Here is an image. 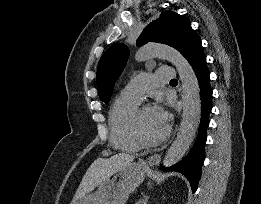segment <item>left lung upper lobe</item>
I'll return each instance as SVG.
<instances>
[{
  "label": "left lung upper lobe",
  "instance_id": "1",
  "mask_svg": "<svg viewBox=\"0 0 261 204\" xmlns=\"http://www.w3.org/2000/svg\"><path fill=\"white\" fill-rule=\"evenodd\" d=\"M196 32L191 28L188 18L172 11L162 12L159 19L151 22L140 34L136 45L142 46L149 41L167 44L182 55ZM129 56V49L116 43L108 48L101 57L97 68V87L101 101L108 103L114 84L123 71Z\"/></svg>",
  "mask_w": 261,
  "mask_h": 204
}]
</instances>
